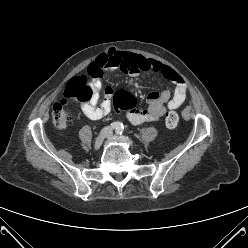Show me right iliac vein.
<instances>
[{"instance_id":"right-iliac-vein-1","label":"right iliac vein","mask_w":248,"mask_h":248,"mask_svg":"<svg viewBox=\"0 0 248 248\" xmlns=\"http://www.w3.org/2000/svg\"><path fill=\"white\" fill-rule=\"evenodd\" d=\"M108 132H109V129L108 128H104L103 130H101V132L99 133L98 137L96 138L95 140V143H94V150H99L100 147L102 146L105 138L107 137L108 135Z\"/></svg>"}]
</instances>
